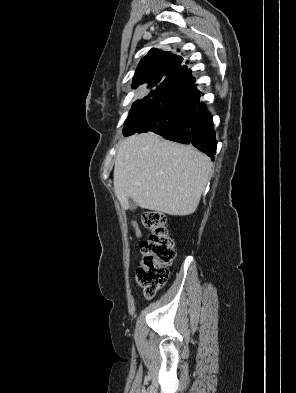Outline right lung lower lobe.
<instances>
[{
    "label": "right lung lower lobe",
    "mask_w": 296,
    "mask_h": 393,
    "mask_svg": "<svg viewBox=\"0 0 296 393\" xmlns=\"http://www.w3.org/2000/svg\"><path fill=\"white\" fill-rule=\"evenodd\" d=\"M187 67L166 77L151 100L123 129V135L154 132L164 138L191 144L212 160L216 153L212 116L203 102Z\"/></svg>",
    "instance_id": "right-lung-lower-lobe-1"
}]
</instances>
